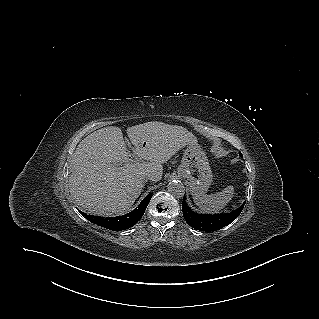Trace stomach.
I'll list each match as a JSON object with an SVG mask.
<instances>
[{"instance_id":"obj_1","label":"stomach","mask_w":319,"mask_h":319,"mask_svg":"<svg viewBox=\"0 0 319 319\" xmlns=\"http://www.w3.org/2000/svg\"><path fill=\"white\" fill-rule=\"evenodd\" d=\"M178 174L186 179L190 191L204 194L212 182V171L205 152L196 143H190L184 150Z\"/></svg>"}]
</instances>
